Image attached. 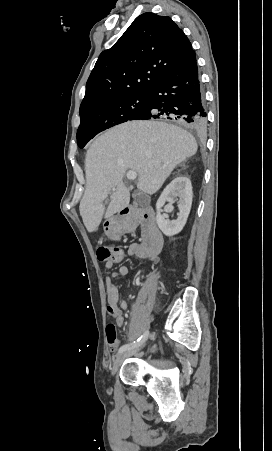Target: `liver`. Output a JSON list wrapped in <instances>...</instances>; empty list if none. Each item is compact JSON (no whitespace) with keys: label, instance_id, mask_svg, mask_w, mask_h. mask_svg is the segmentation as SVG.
Returning a JSON list of instances; mask_svg holds the SVG:
<instances>
[{"label":"liver","instance_id":"obj_1","mask_svg":"<svg viewBox=\"0 0 272 451\" xmlns=\"http://www.w3.org/2000/svg\"><path fill=\"white\" fill-rule=\"evenodd\" d=\"M197 142L187 130L155 120H134L110 128L98 136L86 154V188L80 216L88 231H95L105 214L127 208L130 194L123 178L127 170L138 174L137 188L155 194L174 168L194 156ZM115 188L105 212L104 200Z\"/></svg>","mask_w":272,"mask_h":451}]
</instances>
